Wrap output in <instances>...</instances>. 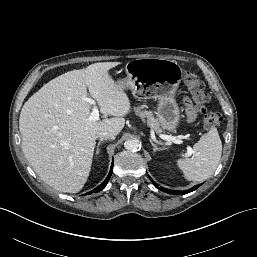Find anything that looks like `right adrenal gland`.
<instances>
[{"label": "right adrenal gland", "instance_id": "obj_1", "mask_svg": "<svg viewBox=\"0 0 257 257\" xmlns=\"http://www.w3.org/2000/svg\"><path fill=\"white\" fill-rule=\"evenodd\" d=\"M104 140H106V139H100V141L98 142L97 147H96V153H95L96 155L99 154V152H100L99 147H100L101 143H102Z\"/></svg>", "mask_w": 257, "mask_h": 257}]
</instances>
